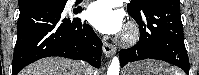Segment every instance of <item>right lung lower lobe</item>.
Returning <instances> with one entry per match:
<instances>
[{"instance_id":"98d812e1","label":"right lung lower lobe","mask_w":199,"mask_h":75,"mask_svg":"<svg viewBox=\"0 0 199 75\" xmlns=\"http://www.w3.org/2000/svg\"><path fill=\"white\" fill-rule=\"evenodd\" d=\"M67 0L20 5L12 75L44 57L62 56L101 65L102 42L90 25L63 16ZM80 11L74 12L78 14Z\"/></svg>"}]
</instances>
